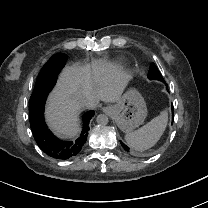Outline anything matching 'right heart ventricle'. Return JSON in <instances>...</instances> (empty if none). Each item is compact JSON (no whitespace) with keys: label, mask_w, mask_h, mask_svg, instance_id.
Returning a JSON list of instances; mask_svg holds the SVG:
<instances>
[{"label":"right heart ventricle","mask_w":208,"mask_h":208,"mask_svg":"<svg viewBox=\"0 0 208 208\" xmlns=\"http://www.w3.org/2000/svg\"><path fill=\"white\" fill-rule=\"evenodd\" d=\"M127 58L125 57V56H121V57H119L118 59H117V63L118 64H124V63H126L127 62Z\"/></svg>","instance_id":"1"}]
</instances>
